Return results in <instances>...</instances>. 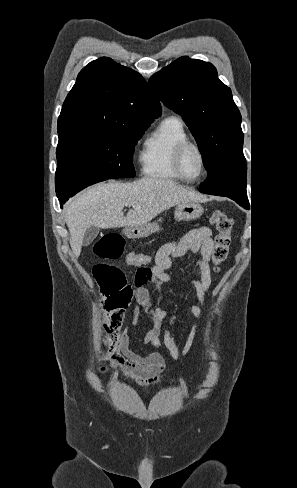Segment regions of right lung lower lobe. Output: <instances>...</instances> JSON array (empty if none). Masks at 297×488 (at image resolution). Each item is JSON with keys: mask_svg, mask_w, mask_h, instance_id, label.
Wrapping results in <instances>:
<instances>
[{"mask_svg": "<svg viewBox=\"0 0 297 488\" xmlns=\"http://www.w3.org/2000/svg\"><path fill=\"white\" fill-rule=\"evenodd\" d=\"M60 201V205L62 206V204H64L66 202L65 199H62V200H59Z\"/></svg>", "mask_w": 297, "mask_h": 488, "instance_id": "1", "label": "right lung lower lobe"}]
</instances>
